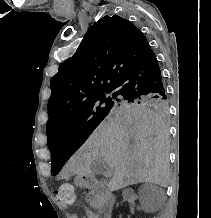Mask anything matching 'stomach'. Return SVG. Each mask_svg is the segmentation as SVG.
Listing matches in <instances>:
<instances>
[{"instance_id": "stomach-1", "label": "stomach", "mask_w": 211, "mask_h": 218, "mask_svg": "<svg viewBox=\"0 0 211 218\" xmlns=\"http://www.w3.org/2000/svg\"><path fill=\"white\" fill-rule=\"evenodd\" d=\"M77 182H78V183H82V176H79V177L77 178Z\"/></svg>"}]
</instances>
